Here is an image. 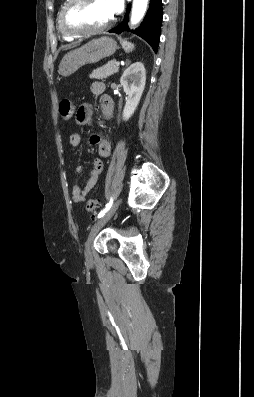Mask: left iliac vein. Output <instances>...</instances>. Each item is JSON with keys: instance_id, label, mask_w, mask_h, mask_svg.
I'll return each instance as SVG.
<instances>
[{"instance_id": "1", "label": "left iliac vein", "mask_w": 254, "mask_h": 397, "mask_svg": "<svg viewBox=\"0 0 254 397\" xmlns=\"http://www.w3.org/2000/svg\"><path fill=\"white\" fill-rule=\"evenodd\" d=\"M121 203V199H118L114 205L107 211V213L101 217L91 228L89 233L88 239L85 243V257L87 261L92 260V253H91V244L93 242L94 237L99 232V230L109 221V219L114 215L118 206Z\"/></svg>"}]
</instances>
